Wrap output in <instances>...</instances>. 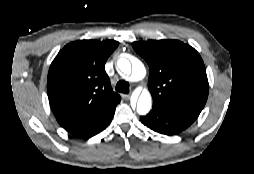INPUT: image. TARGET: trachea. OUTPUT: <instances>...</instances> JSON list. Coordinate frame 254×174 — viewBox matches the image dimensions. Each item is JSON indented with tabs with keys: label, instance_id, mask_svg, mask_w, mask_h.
<instances>
[{
	"label": "trachea",
	"instance_id": "obj_1",
	"mask_svg": "<svg viewBox=\"0 0 254 174\" xmlns=\"http://www.w3.org/2000/svg\"><path fill=\"white\" fill-rule=\"evenodd\" d=\"M116 91L121 92V93H129V83L126 81H119L116 84Z\"/></svg>",
	"mask_w": 254,
	"mask_h": 174
}]
</instances>
